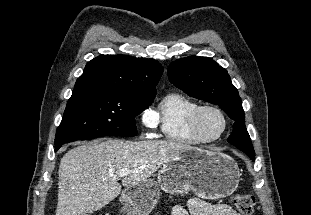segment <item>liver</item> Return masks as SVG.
Listing matches in <instances>:
<instances>
[{
  "label": "liver",
  "instance_id": "obj_1",
  "mask_svg": "<svg viewBox=\"0 0 311 215\" xmlns=\"http://www.w3.org/2000/svg\"><path fill=\"white\" fill-rule=\"evenodd\" d=\"M190 149L181 142L120 139L74 147L60 161L56 215L97 211L120 194L121 170H138L122 179L127 189L149 180L161 166Z\"/></svg>",
  "mask_w": 311,
  "mask_h": 215
}]
</instances>
